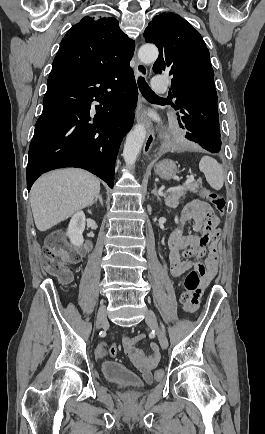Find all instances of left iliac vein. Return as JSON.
<instances>
[{
	"mask_svg": "<svg viewBox=\"0 0 265 434\" xmlns=\"http://www.w3.org/2000/svg\"><path fill=\"white\" fill-rule=\"evenodd\" d=\"M145 321L152 329H154L156 331L161 347L164 349L167 348L168 339H167L165 333L159 327L155 313L151 309L146 310Z\"/></svg>",
	"mask_w": 265,
	"mask_h": 434,
	"instance_id": "4c4485c4",
	"label": "left iliac vein"
}]
</instances>
